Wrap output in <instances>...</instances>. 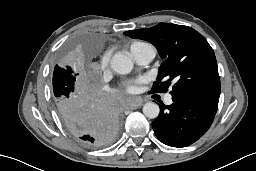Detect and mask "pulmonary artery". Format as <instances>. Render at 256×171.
Returning a JSON list of instances; mask_svg holds the SVG:
<instances>
[{
    "mask_svg": "<svg viewBox=\"0 0 256 171\" xmlns=\"http://www.w3.org/2000/svg\"><path fill=\"white\" fill-rule=\"evenodd\" d=\"M132 56L134 58V61L138 65L146 66L155 57V49L151 45L142 46V47L138 48ZM165 103L166 104L172 103V96L170 94H168L165 97Z\"/></svg>",
    "mask_w": 256,
    "mask_h": 171,
    "instance_id": "e3ab8cb5",
    "label": "pulmonary artery"
}]
</instances>
